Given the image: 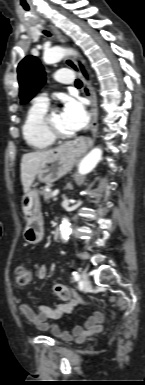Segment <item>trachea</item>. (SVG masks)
<instances>
[{
    "mask_svg": "<svg viewBox=\"0 0 145 385\" xmlns=\"http://www.w3.org/2000/svg\"><path fill=\"white\" fill-rule=\"evenodd\" d=\"M44 34L47 35V36H50V35H51L48 31H44ZM75 86L81 87V86H82V82H81L79 79H77V80L75 81Z\"/></svg>",
    "mask_w": 145,
    "mask_h": 385,
    "instance_id": "3493384b",
    "label": "trachea"
}]
</instances>
